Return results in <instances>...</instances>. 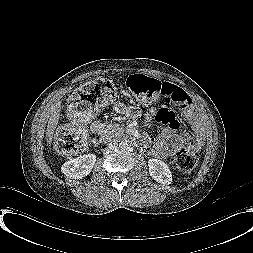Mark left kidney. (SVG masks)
<instances>
[{"instance_id":"1","label":"left kidney","mask_w":253,"mask_h":253,"mask_svg":"<svg viewBox=\"0 0 253 253\" xmlns=\"http://www.w3.org/2000/svg\"><path fill=\"white\" fill-rule=\"evenodd\" d=\"M149 174L150 176L161 184H171L172 174L166 163L159 159H149Z\"/></svg>"}]
</instances>
